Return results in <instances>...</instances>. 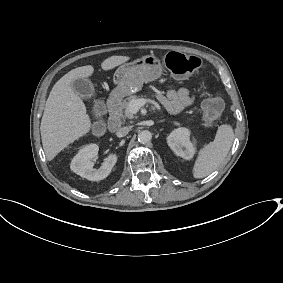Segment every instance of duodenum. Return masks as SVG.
<instances>
[{"label":"duodenum","instance_id":"duodenum-1","mask_svg":"<svg viewBox=\"0 0 283 283\" xmlns=\"http://www.w3.org/2000/svg\"><path fill=\"white\" fill-rule=\"evenodd\" d=\"M107 109L110 114L108 128L110 131H118L121 127V98L114 95L107 104Z\"/></svg>","mask_w":283,"mask_h":283}]
</instances>
